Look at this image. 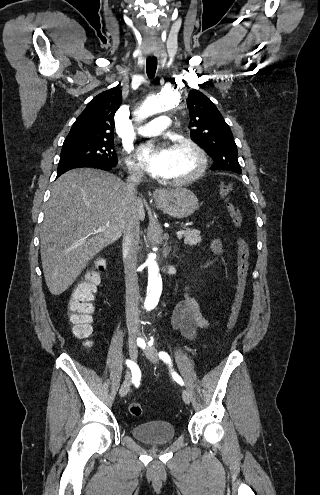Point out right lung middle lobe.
<instances>
[{
	"label": "right lung middle lobe",
	"mask_w": 320,
	"mask_h": 495,
	"mask_svg": "<svg viewBox=\"0 0 320 495\" xmlns=\"http://www.w3.org/2000/svg\"><path fill=\"white\" fill-rule=\"evenodd\" d=\"M113 141L71 140L64 141L58 172L90 163L117 164Z\"/></svg>",
	"instance_id": "dd1d6c3e"
}]
</instances>
